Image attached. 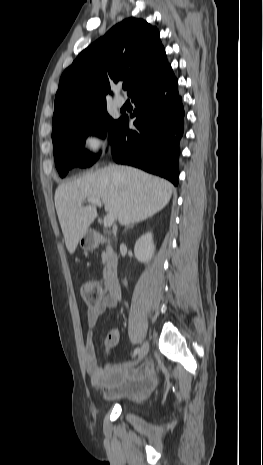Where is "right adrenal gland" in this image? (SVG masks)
I'll return each instance as SVG.
<instances>
[{"instance_id": "1", "label": "right adrenal gland", "mask_w": 263, "mask_h": 465, "mask_svg": "<svg viewBox=\"0 0 263 465\" xmlns=\"http://www.w3.org/2000/svg\"><path fill=\"white\" fill-rule=\"evenodd\" d=\"M134 224H135V223L131 224L130 226H133ZM127 228H128V227H127ZM127 228H126V230H127Z\"/></svg>"}]
</instances>
